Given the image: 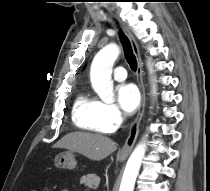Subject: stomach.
I'll list each match as a JSON object with an SVG mask.
<instances>
[{
    "instance_id": "obj_1",
    "label": "stomach",
    "mask_w": 210,
    "mask_h": 191,
    "mask_svg": "<svg viewBox=\"0 0 210 191\" xmlns=\"http://www.w3.org/2000/svg\"><path fill=\"white\" fill-rule=\"evenodd\" d=\"M123 161L124 158H119ZM54 165L60 169H74L77 165L74 154L71 151L60 153L55 157Z\"/></svg>"
}]
</instances>
